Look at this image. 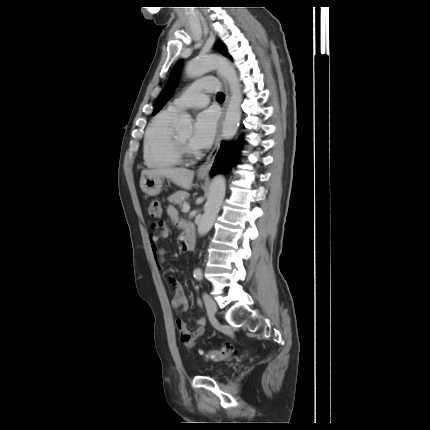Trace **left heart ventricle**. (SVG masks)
<instances>
[{
  "label": "left heart ventricle",
  "mask_w": 430,
  "mask_h": 430,
  "mask_svg": "<svg viewBox=\"0 0 430 430\" xmlns=\"http://www.w3.org/2000/svg\"><path fill=\"white\" fill-rule=\"evenodd\" d=\"M179 137L181 138L182 141H184L185 143L189 144L190 143V139L192 136V132L190 129L187 130H181L177 132Z\"/></svg>",
  "instance_id": "b2bd125f"
}]
</instances>
